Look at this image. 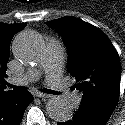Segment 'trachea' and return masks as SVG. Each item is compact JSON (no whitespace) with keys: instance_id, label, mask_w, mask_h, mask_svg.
Wrapping results in <instances>:
<instances>
[{"instance_id":"3493384b","label":"trachea","mask_w":125,"mask_h":125,"mask_svg":"<svg viewBox=\"0 0 125 125\" xmlns=\"http://www.w3.org/2000/svg\"><path fill=\"white\" fill-rule=\"evenodd\" d=\"M7 85L10 87V88H13L14 91L16 92H23V91H26V87H23V86H15V85H12V84H8ZM41 92H44V93H47V94H58V92L54 91V90H50V89H41L40 90Z\"/></svg>"}]
</instances>
